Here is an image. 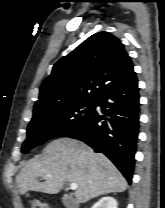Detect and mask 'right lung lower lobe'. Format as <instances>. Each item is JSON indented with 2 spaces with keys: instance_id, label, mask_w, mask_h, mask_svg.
I'll list each match as a JSON object with an SVG mask.
<instances>
[{
  "instance_id": "98d812e1",
  "label": "right lung lower lobe",
  "mask_w": 165,
  "mask_h": 208,
  "mask_svg": "<svg viewBox=\"0 0 165 208\" xmlns=\"http://www.w3.org/2000/svg\"><path fill=\"white\" fill-rule=\"evenodd\" d=\"M98 105L104 115H99L94 110L68 137L81 140L96 152L105 154L128 183H131L139 127V88L136 74L103 94L97 100L96 106Z\"/></svg>"
}]
</instances>
